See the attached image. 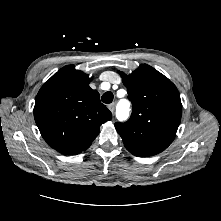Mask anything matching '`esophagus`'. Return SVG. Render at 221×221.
Masks as SVG:
<instances>
[{
	"instance_id": "esophagus-1",
	"label": "esophagus",
	"mask_w": 221,
	"mask_h": 221,
	"mask_svg": "<svg viewBox=\"0 0 221 221\" xmlns=\"http://www.w3.org/2000/svg\"><path fill=\"white\" fill-rule=\"evenodd\" d=\"M108 109L113 113L115 111V104L114 103L109 104Z\"/></svg>"
}]
</instances>
